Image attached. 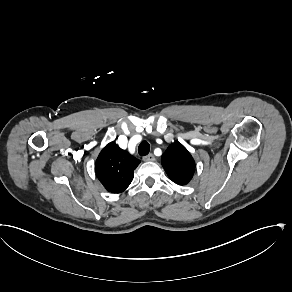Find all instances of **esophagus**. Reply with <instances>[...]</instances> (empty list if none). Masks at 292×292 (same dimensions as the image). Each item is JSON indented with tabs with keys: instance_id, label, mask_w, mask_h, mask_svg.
Listing matches in <instances>:
<instances>
[{
	"instance_id": "34e87169",
	"label": "esophagus",
	"mask_w": 292,
	"mask_h": 292,
	"mask_svg": "<svg viewBox=\"0 0 292 292\" xmlns=\"http://www.w3.org/2000/svg\"><path fill=\"white\" fill-rule=\"evenodd\" d=\"M143 161L148 162V161H155V156L153 154H148L143 157Z\"/></svg>"
}]
</instances>
